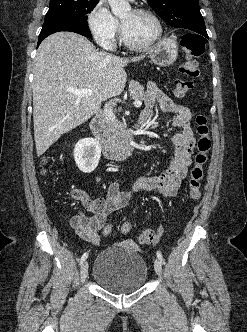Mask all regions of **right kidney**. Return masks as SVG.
<instances>
[{"label":"right kidney","mask_w":247,"mask_h":332,"mask_svg":"<svg viewBox=\"0 0 247 332\" xmlns=\"http://www.w3.org/2000/svg\"><path fill=\"white\" fill-rule=\"evenodd\" d=\"M73 156L79 170L91 173L98 166L101 146L94 138L81 139L75 145Z\"/></svg>","instance_id":"obj_1"}]
</instances>
